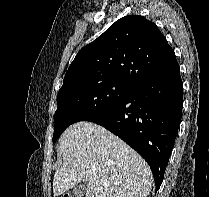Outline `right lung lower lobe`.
<instances>
[{
    "mask_svg": "<svg viewBox=\"0 0 209 197\" xmlns=\"http://www.w3.org/2000/svg\"><path fill=\"white\" fill-rule=\"evenodd\" d=\"M182 106L183 83L176 60L85 121L105 127L136 150L149 164L158 190L178 132Z\"/></svg>",
    "mask_w": 209,
    "mask_h": 197,
    "instance_id": "1",
    "label": "right lung lower lobe"
}]
</instances>
